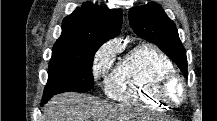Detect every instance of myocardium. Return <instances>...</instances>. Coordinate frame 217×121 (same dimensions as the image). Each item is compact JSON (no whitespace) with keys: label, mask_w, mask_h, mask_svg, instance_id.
<instances>
[{"label":"myocardium","mask_w":217,"mask_h":121,"mask_svg":"<svg viewBox=\"0 0 217 121\" xmlns=\"http://www.w3.org/2000/svg\"><path fill=\"white\" fill-rule=\"evenodd\" d=\"M159 91L169 103L180 105L186 98V87L183 79L173 73H166L159 83Z\"/></svg>","instance_id":"1"}]
</instances>
